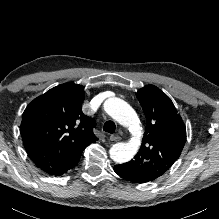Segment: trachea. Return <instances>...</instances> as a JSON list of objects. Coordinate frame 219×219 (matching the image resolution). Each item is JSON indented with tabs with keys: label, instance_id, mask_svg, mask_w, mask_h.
Listing matches in <instances>:
<instances>
[{
	"label": "trachea",
	"instance_id": "trachea-1",
	"mask_svg": "<svg viewBox=\"0 0 219 219\" xmlns=\"http://www.w3.org/2000/svg\"><path fill=\"white\" fill-rule=\"evenodd\" d=\"M115 129H116V125L113 121H107L103 126V130L111 134L115 132Z\"/></svg>",
	"mask_w": 219,
	"mask_h": 219
}]
</instances>
